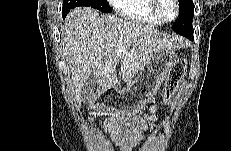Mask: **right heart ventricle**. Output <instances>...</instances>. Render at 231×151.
I'll return each mask as SVG.
<instances>
[{
    "label": "right heart ventricle",
    "mask_w": 231,
    "mask_h": 151,
    "mask_svg": "<svg viewBox=\"0 0 231 151\" xmlns=\"http://www.w3.org/2000/svg\"><path fill=\"white\" fill-rule=\"evenodd\" d=\"M116 8L128 22L150 26L161 24L150 11V0H120Z\"/></svg>",
    "instance_id": "obj_1"
}]
</instances>
